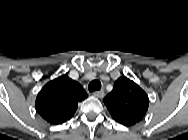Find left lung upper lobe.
<instances>
[{
    "instance_id": "left-lung-upper-lobe-1",
    "label": "left lung upper lobe",
    "mask_w": 188,
    "mask_h": 140,
    "mask_svg": "<svg viewBox=\"0 0 188 140\" xmlns=\"http://www.w3.org/2000/svg\"><path fill=\"white\" fill-rule=\"evenodd\" d=\"M103 102L113 119L125 126H132L140 122L149 106L147 94L125 76L116 80L113 90L104 98Z\"/></svg>"
}]
</instances>
